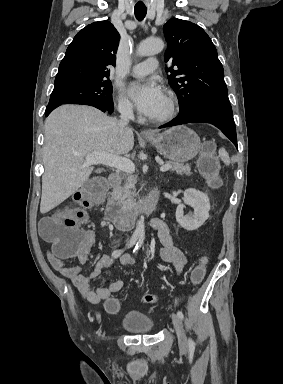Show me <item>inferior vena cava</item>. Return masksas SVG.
<instances>
[{
	"label": "inferior vena cava",
	"instance_id": "1",
	"mask_svg": "<svg viewBox=\"0 0 283 384\" xmlns=\"http://www.w3.org/2000/svg\"><path fill=\"white\" fill-rule=\"evenodd\" d=\"M118 112H120L118 126L121 132H125L126 126L129 124V120H133L134 118L132 104H119Z\"/></svg>",
	"mask_w": 283,
	"mask_h": 384
}]
</instances>
